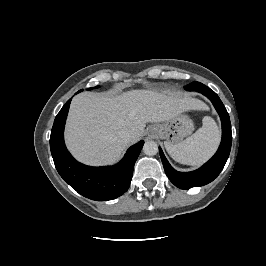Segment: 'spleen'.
<instances>
[{
  "label": "spleen",
  "mask_w": 266,
  "mask_h": 266,
  "mask_svg": "<svg viewBox=\"0 0 266 266\" xmlns=\"http://www.w3.org/2000/svg\"><path fill=\"white\" fill-rule=\"evenodd\" d=\"M220 140V131L211 117L203 118V125L192 136L177 144L165 142L168 154L176 162L198 166L215 152Z\"/></svg>",
  "instance_id": "3e777b00"
}]
</instances>
